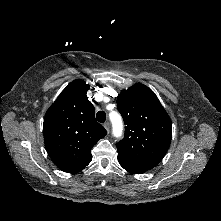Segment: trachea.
<instances>
[{
	"mask_svg": "<svg viewBox=\"0 0 221 221\" xmlns=\"http://www.w3.org/2000/svg\"><path fill=\"white\" fill-rule=\"evenodd\" d=\"M96 119H97L98 122L104 123L105 120H106V113L104 111H99L96 114Z\"/></svg>",
	"mask_w": 221,
	"mask_h": 221,
	"instance_id": "obj_1",
	"label": "trachea"
}]
</instances>
